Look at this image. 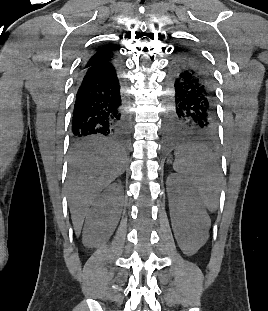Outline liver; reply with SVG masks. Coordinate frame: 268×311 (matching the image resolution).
Here are the masks:
<instances>
[{"mask_svg": "<svg viewBox=\"0 0 268 311\" xmlns=\"http://www.w3.org/2000/svg\"><path fill=\"white\" fill-rule=\"evenodd\" d=\"M124 170V159L113 144L87 146L73 154L70 159L68 201L77 236L90 205Z\"/></svg>", "mask_w": 268, "mask_h": 311, "instance_id": "1", "label": "liver"}]
</instances>
